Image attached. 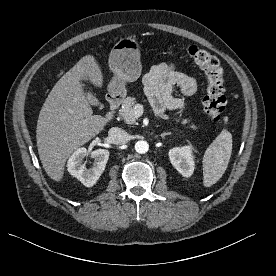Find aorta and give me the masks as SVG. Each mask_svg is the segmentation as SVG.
I'll return each instance as SVG.
<instances>
[{
  "mask_svg": "<svg viewBox=\"0 0 276 276\" xmlns=\"http://www.w3.org/2000/svg\"><path fill=\"white\" fill-rule=\"evenodd\" d=\"M135 150L139 154H144L149 150V144L146 141L140 140L136 142Z\"/></svg>",
  "mask_w": 276,
  "mask_h": 276,
  "instance_id": "obj_1",
  "label": "aorta"
}]
</instances>
